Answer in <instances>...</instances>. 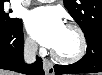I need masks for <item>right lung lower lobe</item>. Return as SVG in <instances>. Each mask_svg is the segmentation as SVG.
<instances>
[{"label": "right lung lower lobe", "instance_id": "98d812e1", "mask_svg": "<svg viewBox=\"0 0 102 75\" xmlns=\"http://www.w3.org/2000/svg\"><path fill=\"white\" fill-rule=\"evenodd\" d=\"M24 35L22 22L13 27H0V69L27 75H44L42 59L32 65L23 61Z\"/></svg>", "mask_w": 102, "mask_h": 75}]
</instances>
